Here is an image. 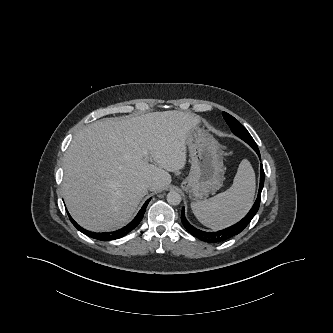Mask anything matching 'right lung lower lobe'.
Listing matches in <instances>:
<instances>
[{
  "mask_svg": "<svg viewBox=\"0 0 333 333\" xmlns=\"http://www.w3.org/2000/svg\"><path fill=\"white\" fill-rule=\"evenodd\" d=\"M151 200L148 199L144 205L142 206V208L140 209V211L138 212V214L136 215V217L133 219L132 222H130L127 226L117 230V231H114V232H104V233H96V232H91V231H88V230H85L84 228L80 227L72 218L71 216L69 215V218L71 220V222L73 223V225L79 230L81 231L83 234L89 236V237H92L94 239H97V240H101V241H109V240H115V239H119L125 235H127L130 231H132L135 227H137V225L141 222L143 216H144V213H145V210H146V207L149 203V201Z\"/></svg>",
  "mask_w": 333,
  "mask_h": 333,
  "instance_id": "right-lung-lower-lobe-1",
  "label": "right lung lower lobe"
}]
</instances>
